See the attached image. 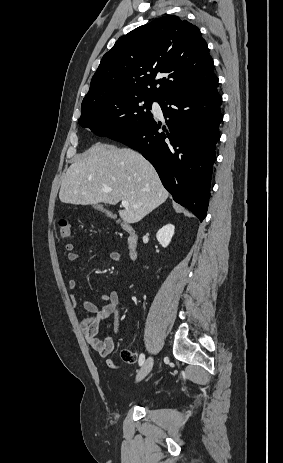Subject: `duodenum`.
<instances>
[{
  "mask_svg": "<svg viewBox=\"0 0 283 463\" xmlns=\"http://www.w3.org/2000/svg\"><path fill=\"white\" fill-rule=\"evenodd\" d=\"M121 228L128 233V246L130 250V257L135 260L137 259L138 252H137V243L138 237L134 227L126 222H122L120 224Z\"/></svg>",
  "mask_w": 283,
  "mask_h": 463,
  "instance_id": "obj_1",
  "label": "duodenum"
}]
</instances>
